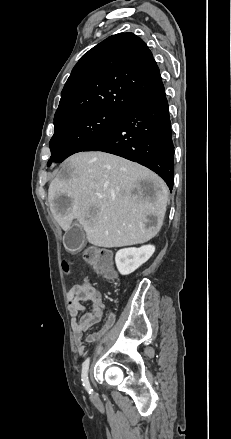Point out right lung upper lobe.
<instances>
[{"label": "right lung upper lobe", "instance_id": "obj_1", "mask_svg": "<svg viewBox=\"0 0 231 439\" xmlns=\"http://www.w3.org/2000/svg\"><path fill=\"white\" fill-rule=\"evenodd\" d=\"M162 90L159 68L147 45L133 33H119L77 62L62 90L54 119L90 109L124 113Z\"/></svg>", "mask_w": 231, "mask_h": 439}]
</instances>
